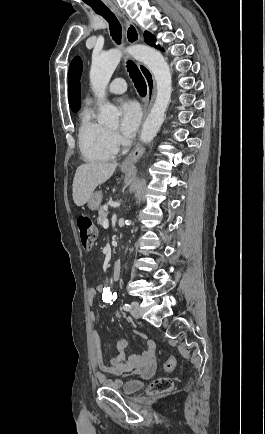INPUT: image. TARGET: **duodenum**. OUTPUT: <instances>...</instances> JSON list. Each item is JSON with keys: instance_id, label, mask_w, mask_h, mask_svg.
Listing matches in <instances>:
<instances>
[{"instance_id": "obj_1", "label": "duodenum", "mask_w": 265, "mask_h": 434, "mask_svg": "<svg viewBox=\"0 0 265 434\" xmlns=\"http://www.w3.org/2000/svg\"><path fill=\"white\" fill-rule=\"evenodd\" d=\"M122 265L123 263L121 259H118L113 263L111 268V274H110V280L112 282H115L120 279L121 272H122Z\"/></svg>"}]
</instances>
